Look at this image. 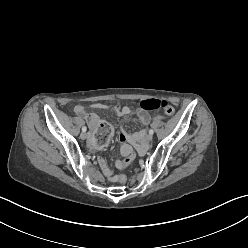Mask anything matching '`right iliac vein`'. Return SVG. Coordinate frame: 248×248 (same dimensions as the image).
<instances>
[{
    "mask_svg": "<svg viewBox=\"0 0 248 248\" xmlns=\"http://www.w3.org/2000/svg\"><path fill=\"white\" fill-rule=\"evenodd\" d=\"M80 138L82 140H85L87 138V134L85 132H82L81 135H80Z\"/></svg>",
    "mask_w": 248,
    "mask_h": 248,
    "instance_id": "obj_1",
    "label": "right iliac vein"
}]
</instances>
